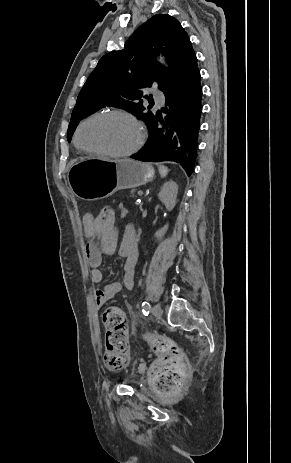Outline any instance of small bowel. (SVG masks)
<instances>
[{
	"instance_id": "obj_1",
	"label": "small bowel",
	"mask_w": 291,
	"mask_h": 463,
	"mask_svg": "<svg viewBox=\"0 0 291 463\" xmlns=\"http://www.w3.org/2000/svg\"><path fill=\"white\" fill-rule=\"evenodd\" d=\"M83 231L87 238L85 255L90 268L91 282L98 286L94 292V302L101 308L109 299L120 292L122 287L133 288L134 272L138 260V245L135 228L127 225L119 242L116 226H107V230H98L96 216L86 213L82 219ZM117 253L124 259L122 281L105 282L100 270L103 255Z\"/></svg>"
}]
</instances>
